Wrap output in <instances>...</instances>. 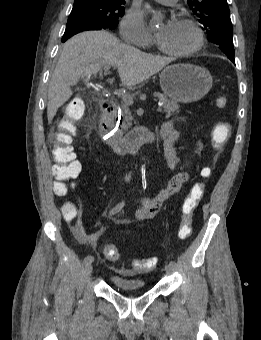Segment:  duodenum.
<instances>
[{"mask_svg":"<svg viewBox=\"0 0 261 340\" xmlns=\"http://www.w3.org/2000/svg\"><path fill=\"white\" fill-rule=\"evenodd\" d=\"M101 111L102 116L99 124L100 134L104 142L119 155L134 154L142 145L153 143L158 139L152 130L145 127L136 128L123 137L117 136L114 132L116 104L112 99L102 100Z\"/></svg>","mask_w":261,"mask_h":340,"instance_id":"obj_1","label":"duodenum"}]
</instances>
